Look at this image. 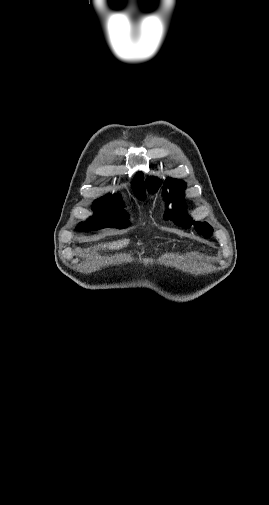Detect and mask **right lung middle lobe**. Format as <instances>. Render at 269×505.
<instances>
[{"label": "right lung middle lobe", "mask_w": 269, "mask_h": 505, "mask_svg": "<svg viewBox=\"0 0 269 505\" xmlns=\"http://www.w3.org/2000/svg\"><path fill=\"white\" fill-rule=\"evenodd\" d=\"M93 208L97 213L87 223L79 224L77 230H86L89 227L123 229L130 225L122 202H114V205H111L109 202L95 201Z\"/></svg>", "instance_id": "obj_1"}]
</instances>
